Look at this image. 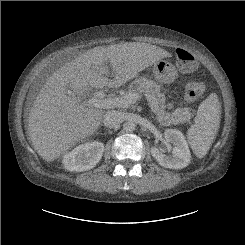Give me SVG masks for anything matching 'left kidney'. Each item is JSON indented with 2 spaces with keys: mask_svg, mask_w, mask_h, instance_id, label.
I'll return each instance as SVG.
<instances>
[{
  "mask_svg": "<svg viewBox=\"0 0 245 245\" xmlns=\"http://www.w3.org/2000/svg\"><path fill=\"white\" fill-rule=\"evenodd\" d=\"M164 137L168 143L174 145L172 156L163 154L158 148H151V155L165 168L182 169L191 161V154L183 133L176 129H166Z\"/></svg>",
  "mask_w": 245,
  "mask_h": 245,
  "instance_id": "5707ae66",
  "label": "left kidney"
}]
</instances>
